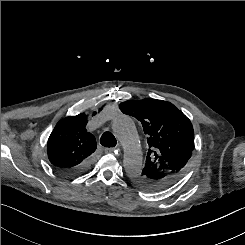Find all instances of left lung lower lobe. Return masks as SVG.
Returning <instances> with one entry per match:
<instances>
[{"label":"left lung lower lobe","mask_w":245,"mask_h":245,"mask_svg":"<svg viewBox=\"0 0 245 245\" xmlns=\"http://www.w3.org/2000/svg\"><path fill=\"white\" fill-rule=\"evenodd\" d=\"M178 177L175 176H164V177H159L156 180V183L154 185V191L152 192H156V191H161L166 189L167 187L171 186Z\"/></svg>","instance_id":"left-lung-lower-lobe-1"}]
</instances>
